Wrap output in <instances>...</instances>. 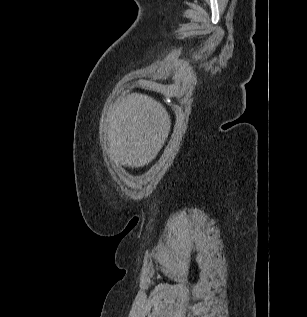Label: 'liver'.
Segmentation results:
<instances>
[{
    "mask_svg": "<svg viewBox=\"0 0 307 317\" xmlns=\"http://www.w3.org/2000/svg\"><path fill=\"white\" fill-rule=\"evenodd\" d=\"M170 128V116L160 102L140 93L129 94L108 115V152L124 166L142 167L158 155Z\"/></svg>",
    "mask_w": 307,
    "mask_h": 317,
    "instance_id": "liver-1",
    "label": "liver"
}]
</instances>
